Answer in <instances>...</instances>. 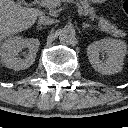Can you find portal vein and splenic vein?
<instances>
[{
    "label": "portal vein and splenic vein",
    "mask_w": 128,
    "mask_h": 128,
    "mask_svg": "<svg viewBox=\"0 0 128 128\" xmlns=\"http://www.w3.org/2000/svg\"><path fill=\"white\" fill-rule=\"evenodd\" d=\"M62 2L73 3L79 8V3L76 2L75 0H63ZM34 3L47 8H56L61 4L60 0H35ZM78 13L79 15H81V12L79 9H78Z\"/></svg>",
    "instance_id": "portal-vein-and-splenic-vein-1"
}]
</instances>
